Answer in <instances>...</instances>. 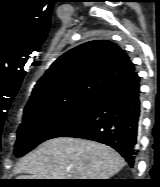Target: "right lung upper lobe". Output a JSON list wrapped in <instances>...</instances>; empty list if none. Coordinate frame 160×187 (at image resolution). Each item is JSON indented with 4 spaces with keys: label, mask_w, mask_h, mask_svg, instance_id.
Here are the masks:
<instances>
[{
    "label": "right lung upper lobe",
    "mask_w": 160,
    "mask_h": 187,
    "mask_svg": "<svg viewBox=\"0 0 160 187\" xmlns=\"http://www.w3.org/2000/svg\"><path fill=\"white\" fill-rule=\"evenodd\" d=\"M134 70L125 51L113 42L81 44L50 66L35 85L24 111L75 99H100Z\"/></svg>",
    "instance_id": "obj_1"
}]
</instances>
